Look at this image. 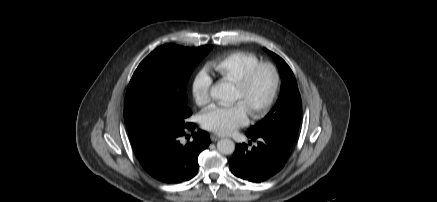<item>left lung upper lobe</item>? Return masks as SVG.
Instances as JSON below:
<instances>
[{
    "label": "left lung upper lobe",
    "mask_w": 437,
    "mask_h": 202,
    "mask_svg": "<svg viewBox=\"0 0 437 202\" xmlns=\"http://www.w3.org/2000/svg\"><path fill=\"white\" fill-rule=\"evenodd\" d=\"M277 63L281 74V92L272 110L248 132L275 137L292 147L300 125L302 102L295 76L286 62L275 53L265 49Z\"/></svg>",
    "instance_id": "left-lung-upper-lobe-1"
}]
</instances>
